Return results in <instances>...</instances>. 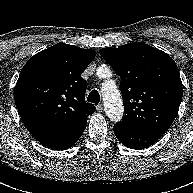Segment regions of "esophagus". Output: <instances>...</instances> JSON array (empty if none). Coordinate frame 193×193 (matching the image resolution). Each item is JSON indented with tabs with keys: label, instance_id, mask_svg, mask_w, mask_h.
<instances>
[{
	"label": "esophagus",
	"instance_id": "1",
	"mask_svg": "<svg viewBox=\"0 0 193 193\" xmlns=\"http://www.w3.org/2000/svg\"><path fill=\"white\" fill-rule=\"evenodd\" d=\"M96 109H97L98 112H102L104 110V107H103L102 104H99V105L96 106Z\"/></svg>",
	"mask_w": 193,
	"mask_h": 193
}]
</instances>
